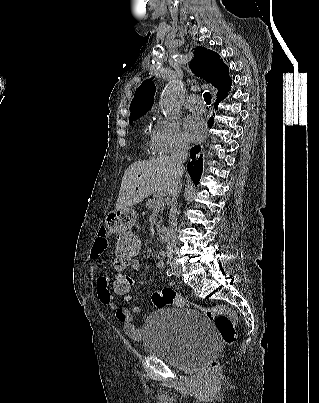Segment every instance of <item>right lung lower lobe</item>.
Listing matches in <instances>:
<instances>
[{"label": "right lung lower lobe", "mask_w": 319, "mask_h": 403, "mask_svg": "<svg viewBox=\"0 0 319 403\" xmlns=\"http://www.w3.org/2000/svg\"><path fill=\"white\" fill-rule=\"evenodd\" d=\"M227 94H225L222 97H218L215 103V108L217 109V105L220 101H222L224 98H226ZM215 115V114H214ZM214 118L212 117L209 122L208 126L211 127L213 125ZM200 145L194 146L191 151H190V158L191 161L187 165V170L189 172L190 177L194 181V183L198 184L201 174H202V167H203V162H202V155H200ZM200 155V157H199ZM199 157V159H197Z\"/></svg>", "instance_id": "obj_1"}]
</instances>
